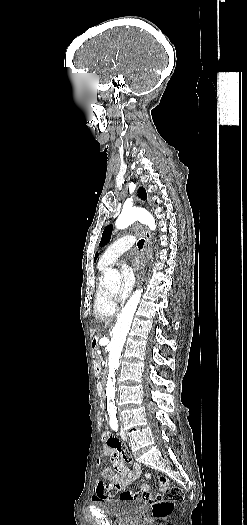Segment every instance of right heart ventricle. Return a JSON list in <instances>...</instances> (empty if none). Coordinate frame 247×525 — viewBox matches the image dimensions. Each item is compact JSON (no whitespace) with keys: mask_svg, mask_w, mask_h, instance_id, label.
Segmentation results:
<instances>
[{"mask_svg":"<svg viewBox=\"0 0 247 525\" xmlns=\"http://www.w3.org/2000/svg\"><path fill=\"white\" fill-rule=\"evenodd\" d=\"M109 265L101 256L97 265L98 276L96 282V300L94 305L95 317H115L119 311L117 304L107 305L105 302L107 289L105 283V273Z\"/></svg>","mask_w":247,"mask_h":525,"instance_id":"right-heart-ventricle-1","label":"right heart ventricle"}]
</instances>
